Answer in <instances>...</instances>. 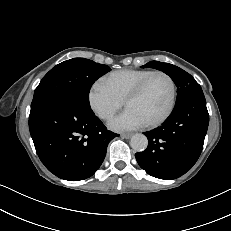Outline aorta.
Returning <instances> with one entry per match:
<instances>
[{
	"instance_id": "762f6f07",
	"label": "aorta",
	"mask_w": 231,
	"mask_h": 231,
	"mask_svg": "<svg viewBox=\"0 0 231 231\" xmlns=\"http://www.w3.org/2000/svg\"><path fill=\"white\" fill-rule=\"evenodd\" d=\"M130 146L134 151L142 152L148 146V139L144 134L136 133L131 137Z\"/></svg>"
}]
</instances>
